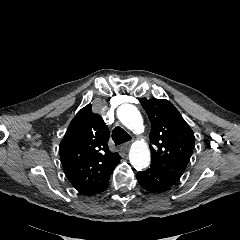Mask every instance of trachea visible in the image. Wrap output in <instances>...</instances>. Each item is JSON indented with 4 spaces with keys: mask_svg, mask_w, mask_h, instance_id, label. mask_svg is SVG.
Returning <instances> with one entry per match:
<instances>
[{
    "mask_svg": "<svg viewBox=\"0 0 240 240\" xmlns=\"http://www.w3.org/2000/svg\"><path fill=\"white\" fill-rule=\"evenodd\" d=\"M112 139L116 144H123L131 140L130 135L121 127H115L112 131Z\"/></svg>",
    "mask_w": 240,
    "mask_h": 240,
    "instance_id": "1",
    "label": "trachea"
}]
</instances>
